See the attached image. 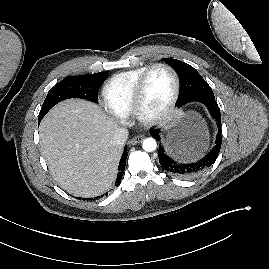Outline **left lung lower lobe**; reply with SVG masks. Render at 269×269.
<instances>
[{"label":"left lung lower lobe","instance_id":"1","mask_svg":"<svg viewBox=\"0 0 269 269\" xmlns=\"http://www.w3.org/2000/svg\"><path fill=\"white\" fill-rule=\"evenodd\" d=\"M191 101H198L203 103L207 109L209 110V113L211 116L217 121L218 123V134L215 141L214 147L211 149L209 153H207L202 158L196 160V161H182L177 160L176 158H173L168 154L164 147L162 145H159V161L162 166V168L169 172L170 174L180 177V178H193L201 173H203L205 170H207L214 162L216 161L221 143H222V136H221V125H220V110L218 107L217 102L215 101V97H203V98H196L192 99ZM179 103V107L182 105L188 103ZM154 138L160 141L159 137V130L155 129L152 130L150 133Z\"/></svg>","mask_w":269,"mask_h":269}]
</instances>
